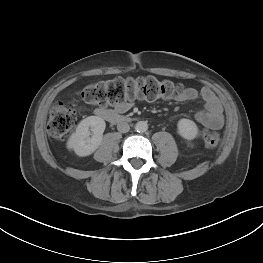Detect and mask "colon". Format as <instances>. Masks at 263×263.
Segmentation results:
<instances>
[{"instance_id":"5ec220e1","label":"colon","mask_w":263,"mask_h":263,"mask_svg":"<svg viewBox=\"0 0 263 263\" xmlns=\"http://www.w3.org/2000/svg\"><path fill=\"white\" fill-rule=\"evenodd\" d=\"M184 87L171 80H158L154 77H128L102 81L86 86L81 92L82 100L88 104L107 106L121 105L135 99L154 101L173 99L184 93ZM78 121V111L73 105L62 103L53 106L48 121V132L56 138H64ZM201 139L205 145L216 147L220 135L216 131L203 129Z\"/></svg>"}]
</instances>
